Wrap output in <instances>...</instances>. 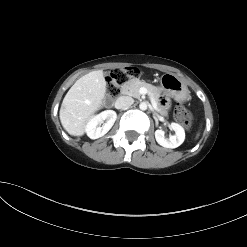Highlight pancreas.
Masks as SVG:
<instances>
[{
    "label": "pancreas",
    "instance_id": "1",
    "mask_svg": "<svg viewBox=\"0 0 247 247\" xmlns=\"http://www.w3.org/2000/svg\"><path fill=\"white\" fill-rule=\"evenodd\" d=\"M141 87H145L154 95L155 101L158 103L159 95L157 93L156 87L153 85L146 83L145 81H140L139 79H131L124 84L121 85V93L124 95L133 96L135 98H140L141 94L139 92ZM158 112L162 115H165L166 112L164 111L163 107L158 103Z\"/></svg>",
    "mask_w": 247,
    "mask_h": 247
}]
</instances>
